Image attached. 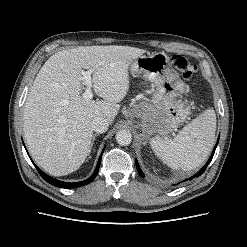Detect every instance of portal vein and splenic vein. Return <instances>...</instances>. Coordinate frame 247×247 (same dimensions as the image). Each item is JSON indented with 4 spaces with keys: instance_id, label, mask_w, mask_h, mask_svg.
<instances>
[{
    "instance_id": "portal-vein-and-splenic-vein-1",
    "label": "portal vein and splenic vein",
    "mask_w": 247,
    "mask_h": 247,
    "mask_svg": "<svg viewBox=\"0 0 247 247\" xmlns=\"http://www.w3.org/2000/svg\"><path fill=\"white\" fill-rule=\"evenodd\" d=\"M91 73H92V70L82 72V75H83L82 80L84 81V84L86 86L85 92L83 93V97L85 99L93 98Z\"/></svg>"
}]
</instances>
